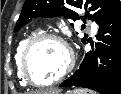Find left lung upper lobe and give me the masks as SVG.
I'll return each instance as SVG.
<instances>
[{
	"mask_svg": "<svg viewBox=\"0 0 121 94\" xmlns=\"http://www.w3.org/2000/svg\"><path fill=\"white\" fill-rule=\"evenodd\" d=\"M74 8L86 10L85 18L82 17L83 20L88 14V19L100 24L121 10V4L119 0H25L14 30L18 31L36 16L47 18L65 16L73 21L79 20L80 16ZM86 40L87 35L82 38V42L85 43Z\"/></svg>",
	"mask_w": 121,
	"mask_h": 94,
	"instance_id": "1",
	"label": "left lung upper lobe"
}]
</instances>
